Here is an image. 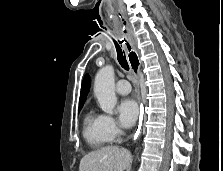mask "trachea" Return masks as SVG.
<instances>
[{"label":"trachea","instance_id":"1","mask_svg":"<svg viewBox=\"0 0 223 171\" xmlns=\"http://www.w3.org/2000/svg\"><path fill=\"white\" fill-rule=\"evenodd\" d=\"M114 43H115V47H116V51H117V59H118V62L119 64L121 65V67L125 70H129V64L127 62V59H126V56H125V53L123 54V51L120 47V45L114 40ZM128 48L130 50V46L128 45Z\"/></svg>","mask_w":223,"mask_h":171}]
</instances>
